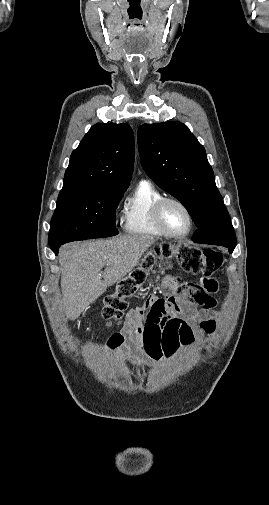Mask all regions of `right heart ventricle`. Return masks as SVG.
Wrapping results in <instances>:
<instances>
[{"label": "right heart ventricle", "instance_id": "right-heart-ventricle-1", "mask_svg": "<svg viewBox=\"0 0 269 505\" xmlns=\"http://www.w3.org/2000/svg\"><path fill=\"white\" fill-rule=\"evenodd\" d=\"M162 197V194L150 182H139L125 206L123 218L125 231L133 235L163 236L152 216L154 203Z\"/></svg>", "mask_w": 269, "mask_h": 505}]
</instances>
